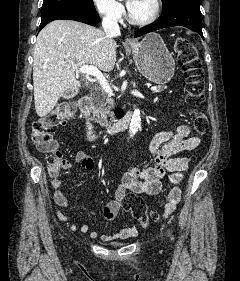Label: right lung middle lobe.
Instances as JSON below:
<instances>
[{
    "label": "right lung middle lobe",
    "instance_id": "right-lung-middle-lobe-1",
    "mask_svg": "<svg viewBox=\"0 0 240 281\" xmlns=\"http://www.w3.org/2000/svg\"><path fill=\"white\" fill-rule=\"evenodd\" d=\"M64 9L81 13H97L93 0H43L41 17L53 11Z\"/></svg>",
    "mask_w": 240,
    "mask_h": 281
}]
</instances>
